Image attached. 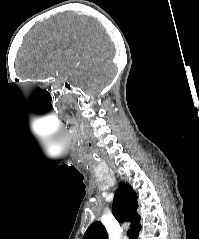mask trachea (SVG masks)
Instances as JSON below:
<instances>
[{
	"mask_svg": "<svg viewBox=\"0 0 199 239\" xmlns=\"http://www.w3.org/2000/svg\"><path fill=\"white\" fill-rule=\"evenodd\" d=\"M127 235H128V237H129V239H134V233H133V230H132V229H129V230L127 231Z\"/></svg>",
	"mask_w": 199,
	"mask_h": 239,
	"instance_id": "obj_1",
	"label": "trachea"
}]
</instances>
